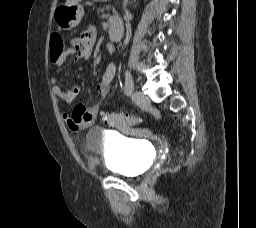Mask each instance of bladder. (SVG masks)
<instances>
[{
    "mask_svg": "<svg viewBox=\"0 0 256 228\" xmlns=\"http://www.w3.org/2000/svg\"><path fill=\"white\" fill-rule=\"evenodd\" d=\"M85 145L88 163L113 174L136 177L148 167L149 151L139 141L112 138L100 128H92L86 135Z\"/></svg>",
    "mask_w": 256,
    "mask_h": 228,
    "instance_id": "bladder-1",
    "label": "bladder"
}]
</instances>
